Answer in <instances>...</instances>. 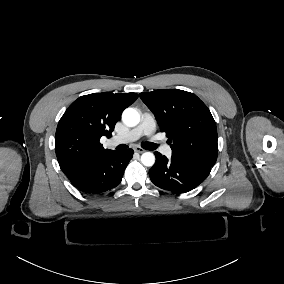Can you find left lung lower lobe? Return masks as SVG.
<instances>
[{
    "mask_svg": "<svg viewBox=\"0 0 284 284\" xmlns=\"http://www.w3.org/2000/svg\"><path fill=\"white\" fill-rule=\"evenodd\" d=\"M156 163L149 170L151 181L159 188L172 193H185L202 183L211 167L186 158L172 155L171 159L155 152Z\"/></svg>",
    "mask_w": 284,
    "mask_h": 284,
    "instance_id": "obj_1",
    "label": "left lung lower lobe"
}]
</instances>
